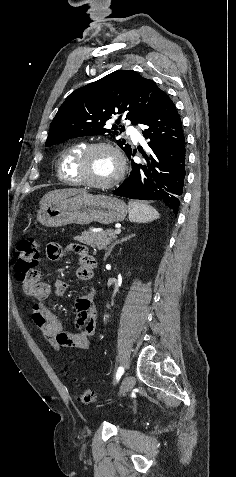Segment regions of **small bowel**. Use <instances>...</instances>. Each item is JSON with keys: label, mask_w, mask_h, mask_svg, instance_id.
<instances>
[{"label": "small bowel", "mask_w": 236, "mask_h": 477, "mask_svg": "<svg viewBox=\"0 0 236 477\" xmlns=\"http://www.w3.org/2000/svg\"><path fill=\"white\" fill-rule=\"evenodd\" d=\"M72 254L78 256L80 261L77 269L78 279L81 281L91 280L94 274L95 259L86 247L76 243H70L66 247L54 242L47 245V256L53 261ZM67 288L68 284L65 280L60 278L54 280L53 294L57 298H62ZM24 290L34 299L31 305L32 320L42 336L50 343L53 353L59 352L62 348L88 349L90 347L91 339L96 331V307L92 298V290L76 300L77 318L75 329L72 331L63 329L62 324L46 303L51 293L49 284L39 282L33 292H29L25 288Z\"/></svg>", "instance_id": "small-bowel-1"}]
</instances>
